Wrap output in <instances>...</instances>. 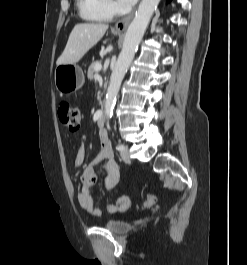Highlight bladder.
Here are the masks:
<instances>
[{
    "label": "bladder",
    "mask_w": 247,
    "mask_h": 265,
    "mask_svg": "<svg viewBox=\"0 0 247 265\" xmlns=\"http://www.w3.org/2000/svg\"><path fill=\"white\" fill-rule=\"evenodd\" d=\"M106 229L117 234L127 233L132 229V224L119 219H110L103 222Z\"/></svg>",
    "instance_id": "31cf9c89"
}]
</instances>
